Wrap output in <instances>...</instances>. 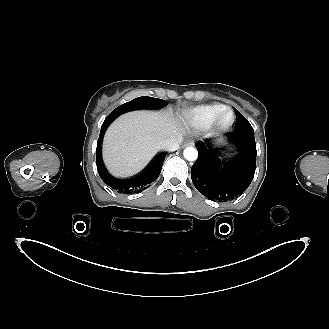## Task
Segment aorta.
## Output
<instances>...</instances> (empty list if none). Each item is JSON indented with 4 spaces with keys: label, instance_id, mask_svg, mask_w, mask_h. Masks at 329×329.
Masks as SVG:
<instances>
[{
    "label": "aorta",
    "instance_id": "1",
    "mask_svg": "<svg viewBox=\"0 0 329 329\" xmlns=\"http://www.w3.org/2000/svg\"><path fill=\"white\" fill-rule=\"evenodd\" d=\"M184 157L188 161H195L198 157V152L195 148L193 147H187L184 152Z\"/></svg>",
    "mask_w": 329,
    "mask_h": 329
}]
</instances>
